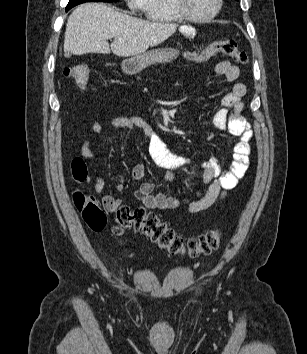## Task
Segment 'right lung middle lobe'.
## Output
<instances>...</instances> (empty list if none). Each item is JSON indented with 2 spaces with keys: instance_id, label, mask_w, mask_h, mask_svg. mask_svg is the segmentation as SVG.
Returning a JSON list of instances; mask_svg holds the SVG:
<instances>
[{
  "instance_id": "1",
  "label": "right lung middle lobe",
  "mask_w": 307,
  "mask_h": 354,
  "mask_svg": "<svg viewBox=\"0 0 307 354\" xmlns=\"http://www.w3.org/2000/svg\"><path fill=\"white\" fill-rule=\"evenodd\" d=\"M118 0H69V3L66 7V11L71 9L72 7L84 3V2H117Z\"/></svg>"
}]
</instances>
